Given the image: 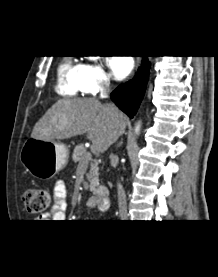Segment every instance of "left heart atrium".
Returning <instances> with one entry per match:
<instances>
[{"label":"left heart atrium","instance_id":"obj_1","mask_svg":"<svg viewBox=\"0 0 218 277\" xmlns=\"http://www.w3.org/2000/svg\"><path fill=\"white\" fill-rule=\"evenodd\" d=\"M108 65L113 76L116 79H122L130 72L132 61L126 57L115 56L109 58Z\"/></svg>","mask_w":218,"mask_h":277}]
</instances>
